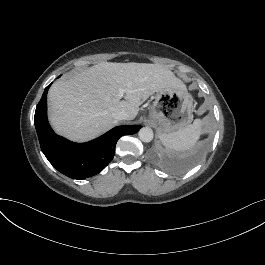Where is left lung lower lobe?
Masks as SVG:
<instances>
[{"instance_id": "1", "label": "left lung lower lobe", "mask_w": 265, "mask_h": 265, "mask_svg": "<svg viewBox=\"0 0 265 265\" xmlns=\"http://www.w3.org/2000/svg\"><path fill=\"white\" fill-rule=\"evenodd\" d=\"M205 148L198 145L182 154H153V161L163 170L172 173H183L193 167L203 156Z\"/></svg>"}]
</instances>
